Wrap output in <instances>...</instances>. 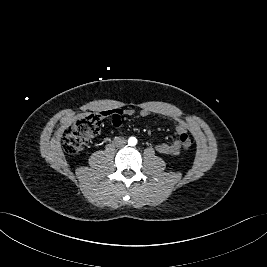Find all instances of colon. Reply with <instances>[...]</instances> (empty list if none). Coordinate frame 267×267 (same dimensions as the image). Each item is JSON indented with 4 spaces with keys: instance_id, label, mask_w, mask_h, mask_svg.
Listing matches in <instances>:
<instances>
[{
    "instance_id": "colon-1",
    "label": "colon",
    "mask_w": 267,
    "mask_h": 267,
    "mask_svg": "<svg viewBox=\"0 0 267 267\" xmlns=\"http://www.w3.org/2000/svg\"><path fill=\"white\" fill-rule=\"evenodd\" d=\"M101 114H89L77 119L69 125L63 135V148L69 154H75L85 148L99 133ZM180 141L184 150L193 146V139L188 134H182Z\"/></svg>"
}]
</instances>
